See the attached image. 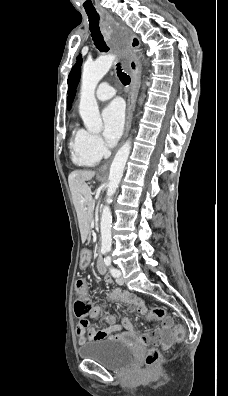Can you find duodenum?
<instances>
[{"label": "duodenum", "instance_id": "410a0bca", "mask_svg": "<svg viewBox=\"0 0 228 396\" xmlns=\"http://www.w3.org/2000/svg\"><path fill=\"white\" fill-rule=\"evenodd\" d=\"M97 268L100 273L104 274L106 272V264L101 257H99L97 260Z\"/></svg>", "mask_w": 228, "mask_h": 396}]
</instances>
